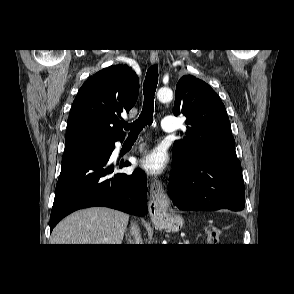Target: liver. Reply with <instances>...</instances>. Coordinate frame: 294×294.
Returning <instances> with one entry per match:
<instances>
[{"label":"liver","instance_id":"obj_1","mask_svg":"<svg viewBox=\"0 0 294 294\" xmlns=\"http://www.w3.org/2000/svg\"><path fill=\"white\" fill-rule=\"evenodd\" d=\"M129 215L105 207L77 211L53 230L51 244H121Z\"/></svg>","mask_w":294,"mask_h":294}]
</instances>
